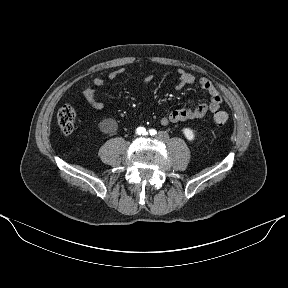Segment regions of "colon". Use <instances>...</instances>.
<instances>
[{
    "mask_svg": "<svg viewBox=\"0 0 288 288\" xmlns=\"http://www.w3.org/2000/svg\"><path fill=\"white\" fill-rule=\"evenodd\" d=\"M228 121V114L225 111H216L213 122L216 126H223ZM57 123L62 133L73 132L76 123V111L71 104L63 105L57 113Z\"/></svg>",
    "mask_w": 288,
    "mask_h": 288,
    "instance_id": "colon-1",
    "label": "colon"
}]
</instances>
